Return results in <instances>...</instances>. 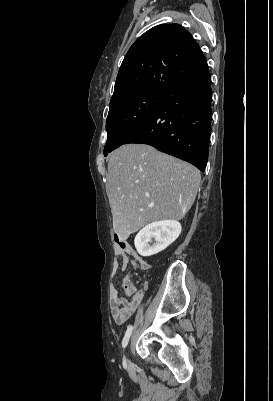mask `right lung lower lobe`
<instances>
[{
    "label": "right lung lower lobe",
    "mask_w": 273,
    "mask_h": 401,
    "mask_svg": "<svg viewBox=\"0 0 273 401\" xmlns=\"http://www.w3.org/2000/svg\"><path fill=\"white\" fill-rule=\"evenodd\" d=\"M211 100L207 66L169 89L163 101L124 144L151 145L204 171L211 134Z\"/></svg>",
    "instance_id": "1"
}]
</instances>
